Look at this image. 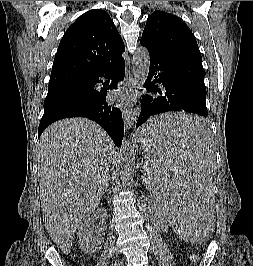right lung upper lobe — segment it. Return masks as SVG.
<instances>
[{
    "mask_svg": "<svg viewBox=\"0 0 253 266\" xmlns=\"http://www.w3.org/2000/svg\"><path fill=\"white\" fill-rule=\"evenodd\" d=\"M124 51L123 40L108 13L90 10L61 39L49 86L93 78L123 60Z\"/></svg>",
    "mask_w": 253,
    "mask_h": 266,
    "instance_id": "cb5924a9",
    "label": "right lung upper lobe"
}]
</instances>
